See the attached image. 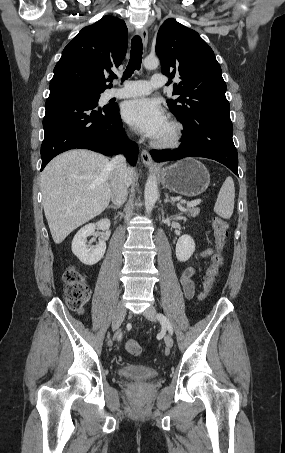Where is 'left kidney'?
I'll return each instance as SVG.
<instances>
[{"label":"left kidney","instance_id":"left-kidney-1","mask_svg":"<svg viewBox=\"0 0 285 453\" xmlns=\"http://www.w3.org/2000/svg\"><path fill=\"white\" fill-rule=\"evenodd\" d=\"M195 251V242L189 235L181 236L176 244V257L180 262H186Z\"/></svg>","mask_w":285,"mask_h":453}]
</instances>
